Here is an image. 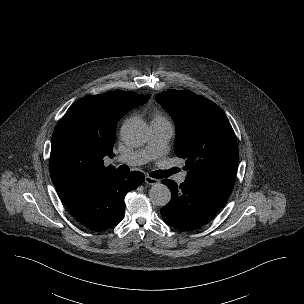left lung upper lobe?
<instances>
[{
  "label": "left lung upper lobe",
  "mask_w": 304,
  "mask_h": 304,
  "mask_svg": "<svg viewBox=\"0 0 304 304\" xmlns=\"http://www.w3.org/2000/svg\"><path fill=\"white\" fill-rule=\"evenodd\" d=\"M155 98L175 122V152L186 160L185 182L229 197L239 151L224 112L214 102L189 91H164Z\"/></svg>",
  "instance_id": "5c2ea615"
}]
</instances>
